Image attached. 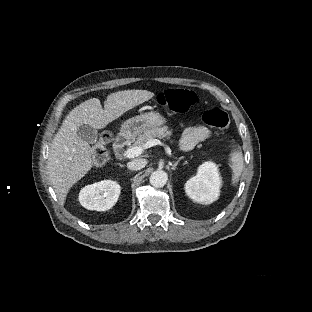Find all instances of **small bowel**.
I'll return each mask as SVG.
<instances>
[{"instance_id": "c3829d8e", "label": "small bowel", "mask_w": 312, "mask_h": 312, "mask_svg": "<svg viewBox=\"0 0 312 312\" xmlns=\"http://www.w3.org/2000/svg\"><path fill=\"white\" fill-rule=\"evenodd\" d=\"M212 132L203 125H194L186 128L181 134L178 145L182 150H191L200 142L211 137Z\"/></svg>"}]
</instances>
